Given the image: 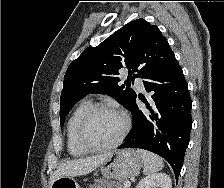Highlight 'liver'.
Listing matches in <instances>:
<instances>
[{
	"mask_svg": "<svg viewBox=\"0 0 224 188\" xmlns=\"http://www.w3.org/2000/svg\"><path fill=\"white\" fill-rule=\"evenodd\" d=\"M109 155L110 152H107L91 157H84L61 163L54 171L51 177L50 184H52L54 180L62 176L74 177L88 174L98 166H100L109 157Z\"/></svg>",
	"mask_w": 224,
	"mask_h": 188,
	"instance_id": "1",
	"label": "liver"
}]
</instances>
